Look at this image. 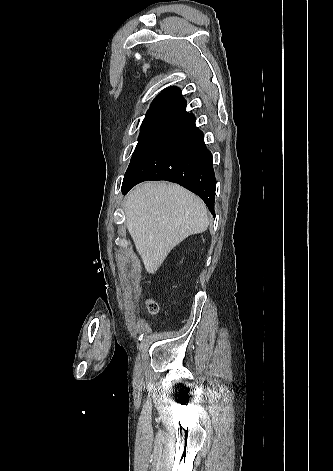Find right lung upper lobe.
<instances>
[{"instance_id": "right-lung-upper-lobe-1", "label": "right lung upper lobe", "mask_w": 333, "mask_h": 471, "mask_svg": "<svg viewBox=\"0 0 333 471\" xmlns=\"http://www.w3.org/2000/svg\"><path fill=\"white\" fill-rule=\"evenodd\" d=\"M186 114V101L177 87L161 92L152 102L145 118H163L179 121Z\"/></svg>"}]
</instances>
